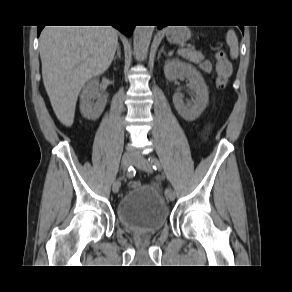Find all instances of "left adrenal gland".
<instances>
[{
	"instance_id": "a2214340",
	"label": "left adrenal gland",
	"mask_w": 292,
	"mask_h": 292,
	"mask_svg": "<svg viewBox=\"0 0 292 292\" xmlns=\"http://www.w3.org/2000/svg\"><path fill=\"white\" fill-rule=\"evenodd\" d=\"M162 53H164V55H166V52L164 51V46H162V48L160 49V51L158 53V58H160Z\"/></svg>"
}]
</instances>
